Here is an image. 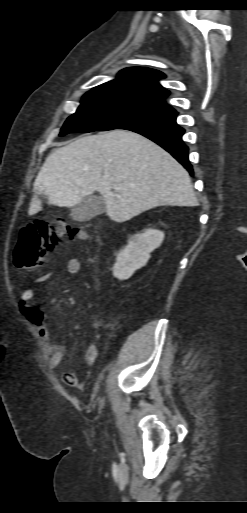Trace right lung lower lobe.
I'll return each mask as SVG.
<instances>
[{
    "label": "right lung lower lobe",
    "mask_w": 247,
    "mask_h": 513,
    "mask_svg": "<svg viewBox=\"0 0 247 513\" xmlns=\"http://www.w3.org/2000/svg\"><path fill=\"white\" fill-rule=\"evenodd\" d=\"M177 112H169L153 118L124 125L121 129L139 133L154 141L176 158L193 175L188 160V147L182 141L184 129L176 123Z\"/></svg>",
    "instance_id": "1"
}]
</instances>
